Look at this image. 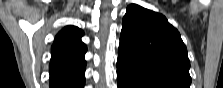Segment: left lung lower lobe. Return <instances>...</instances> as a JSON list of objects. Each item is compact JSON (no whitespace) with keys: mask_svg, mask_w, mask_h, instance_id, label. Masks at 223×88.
I'll use <instances>...</instances> for the list:
<instances>
[{"mask_svg":"<svg viewBox=\"0 0 223 88\" xmlns=\"http://www.w3.org/2000/svg\"><path fill=\"white\" fill-rule=\"evenodd\" d=\"M117 84L118 88H161L148 84L137 74L119 66L117 64Z\"/></svg>","mask_w":223,"mask_h":88,"instance_id":"1","label":"left lung lower lobe"}]
</instances>
